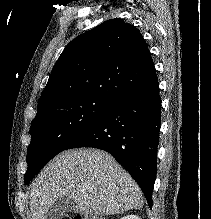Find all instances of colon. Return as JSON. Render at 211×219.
<instances>
[{
  "mask_svg": "<svg viewBox=\"0 0 211 219\" xmlns=\"http://www.w3.org/2000/svg\"><path fill=\"white\" fill-rule=\"evenodd\" d=\"M62 219H105L104 217H99V216H76L74 218L71 217H63Z\"/></svg>",
  "mask_w": 211,
  "mask_h": 219,
  "instance_id": "5ec220e1",
  "label": "colon"
}]
</instances>
